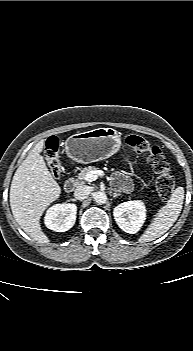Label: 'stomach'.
I'll use <instances>...</instances> for the list:
<instances>
[{"label":"stomach","mask_w":193,"mask_h":351,"mask_svg":"<svg viewBox=\"0 0 193 351\" xmlns=\"http://www.w3.org/2000/svg\"><path fill=\"white\" fill-rule=\"evenodd\" d=\"M121 148V136L113 128H97L70 136L65 143L67 156L74 162L89 164L106 159ZM128 155L123 161L129 162Z\"/></svg>","instance_id":"0dacf381"}]
</instances>
